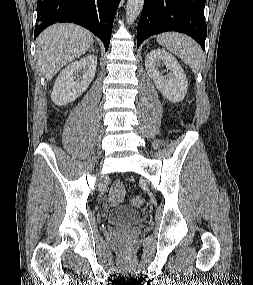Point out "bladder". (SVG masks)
Here are the masks:
<instances>
[{
	"instance_id": "obj_1",
	"label": "bladder",
	"mask_w": 253,
	"mask_h": 285,
	"mask_svg": "<svg viewBox=\"0 0 253 285\" xmlns=\"http://www.w3.org/2000/svg\"><path fill=\"white\" fill-rule=\"evenodd\" d=\"M141 220L140 211L128 206H120L106 213V221L112 226H131L138 224Z\"/></svg>"
}]
</instances>
